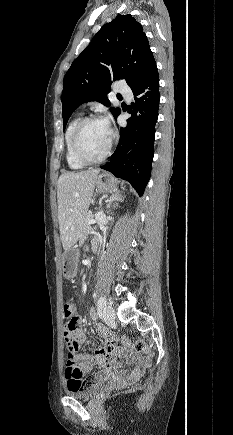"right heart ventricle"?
I'll use <instances>...</instances> for the list:
<instances>
[{
	"instance_id": "right-heart-ventricle-1",
	"label": "right heart ventricle",
	"mask_w": 233,
	"mask_h": 435,
	"mask_svg": "<svg viewBox=\"0 0 233 435\" xmlns=\"http://www.w3.org/2000/svg\"><path fill=\"white\" fill-rule=\"evenodd\" d=\"M82 119V116H77L74 118L68 125L66 132H65V147H66V162L68 167L74 170H79L85 167V163L80 161L74 150L72 145V135L73 131L77 125V123Z\"/></svg>"
}]
</instances>
